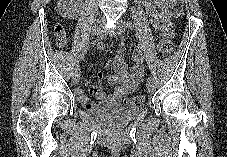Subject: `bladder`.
<instances>
[{
    "instance_id": "1",
    "label": "bladder",
    "mask_w": 227,
    "mask_h": 157,
    "mask_svg": "<svg viewBox=\"0 0 227 157\" xmlns=\"http://www.w3.org/2000/svg\"><path fill=\"white\" fill-rule=\"evenodd\" d=\"M91 117L106 126H120L127 124L142 113L137 106L114 105L89 112Z\"/></svg>"
}]
</instances>
